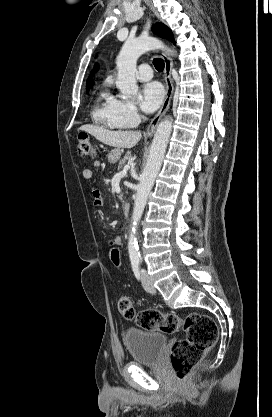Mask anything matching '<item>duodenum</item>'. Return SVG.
Segmentation results:
<instances>
[{
  "instance_id": "1",
  "label": "duodenum",
  "mask_w": 272,
  "mask_h": 417,
  "mask_svg": "<svg viewBox=\"0 0 272 417\" xmlns=\"http://www.w3.org/2000/svg\"><path fill=\"white\" fill-rule=\"evenodd\" d=\"M121 208H122L123 214L125 216H127L129 214V212H130V204L125 201V202L122 203Z\"/></svg>"
}]
</instances>
